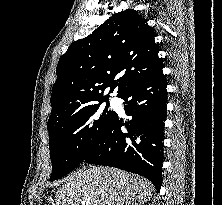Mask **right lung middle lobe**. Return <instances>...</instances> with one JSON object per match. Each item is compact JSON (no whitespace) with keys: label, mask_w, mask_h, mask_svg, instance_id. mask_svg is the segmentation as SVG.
<instances>
[{"label":"right lung middle lobe","mask_w":222,"mask_h":205,"mask_svg":"<svg viewBox=\"0 0 222 205\" xmlns=\"http://www.w3.org/2000/svg\"><path fill=\"white\" fill-rule=\"evenodd\" d=\"M106 102V107L100 105ZM52 124H47L52 162L50 180L60 179L84 161L96 138L111 124L116 113L102 101Z\"/></svg>","instance_id":"obj_1"}]
</instances>
